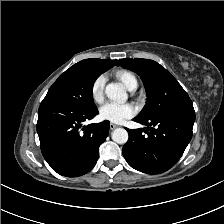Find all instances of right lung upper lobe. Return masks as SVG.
<instances>
[{"label": "right lung upper lobe", "mask_w": 224, "mask_h": 224, "mask_svg": "<svg viewBox=\"0 0 224 224\" xmlns=\"http://www.w3.org/2000/svg\"><path fill=\"white\" fill-rule=\"evenodd\" d=\"M85 61L103 70L104 72L112 68L117 62V60H104V59H86Z\"/></svg>", "instance_id": "cb5924a9"}]
</instances>
